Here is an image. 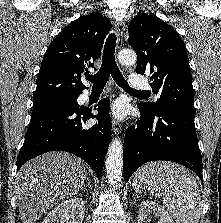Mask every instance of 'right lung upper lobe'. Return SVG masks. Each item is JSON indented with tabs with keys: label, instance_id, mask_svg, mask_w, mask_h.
Returning a JSON list of instances; mask_svg holds the SVG:
<instances>
[{
	"label": "right lung upper lobe",
	"instance_id": "right-lung-upper-lobe-1",
	"mask_svg": "<svg viewBox=\"0 0 221 223\" xmlns=\"http://www.w3.org/2000/svg\"><path fill=\"white\" fill-rule=\"evenodd\" d=\"M110 21L100 13L67 25L50 43L37 77L34 104L74 98L86 88L81 73L101 56Z\"/></svg>",
	"mask_w": 221,
	"mask_h": 223
}]
</instances>
